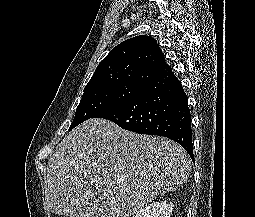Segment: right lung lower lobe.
Instances as JSON below:
<instances>
[{
  "label": "right lung lower lobe",
  "mask_w": 255,
  "mask_h": 217,
  "mask_svg": "<svg viewBox=\"0 0 255 217\" xmlns=\"http://www.w3.org/2000/svg\"><path fill=\"white\" fill-rule=\"evenodd\" d=\"M94 118L121 128L178 142L193 159L190 110L181 82L173 72L148 84L136 97Z\"/></svg>",
  "instance_id": "98d812e1"
}]
</instances>
